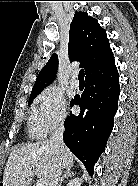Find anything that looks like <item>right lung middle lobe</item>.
Instances as JSON below:
<instances>
[{
  "label": "right lung middle lobe",
  "instance_id": "1",
  "mask_svg": "<svg viewBox=\"0 0 138 186\" xmlns=\"http://www.w3.org/2000/svg\"><path fill=\"white\" fill-rule=\"evenodd\" d=\"M37 95H38V94L30 95L28 105H30V103L32 102V100H33Z\"/></svg>",
  "mask_w": 138,
  "mask_h": 186
}]
</instances>
